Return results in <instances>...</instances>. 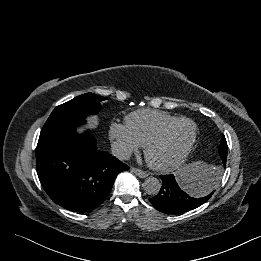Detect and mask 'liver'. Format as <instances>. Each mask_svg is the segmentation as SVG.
<instances>
[{
	"label": "liver",
	"instance_id": "6515ba94",
	"mask_svg": "<svg viewBox=\"0 0 261 261\" xmlns=\"http://www.w3.org/2000/svg\"><path fill=\"white\" fill-rule=\"evenodd\" d=\"M89 126L91 128H95L99 124V119L97 116H92L88 119ZM83 129L79 130V133L82 132Z\"/></svg>",
	"mask_w": 261,
	"mask_h": 261
}]
</instances>
